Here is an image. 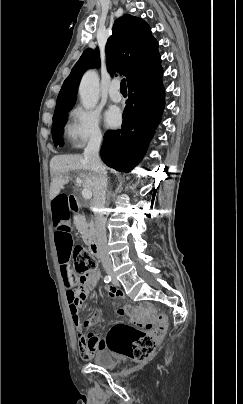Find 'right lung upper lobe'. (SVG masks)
Returning <instances> with one entry per match:
<instances>
[{"label":"right lung upper lobe","mask_w":243,"mask_h":404,"mask_svg":"<svg viewBox=\"0 0 243 404\" xmlns=\"http://www.w3.org/2000/svg\"><path fill=\"white\" fill-rule=\"evenodd\" d=\"M99 62V54L95 51L87 49L83 52L62 85L55 112L74 106L83 73L98 66ZM160 62L158 43L144 20L126 14L115 21L112 35L106 44L107 70L111 75L120 72L126 76L129 85L152 73L160 66Z\"/></svg>","instance_id":"obj_1"}]
</instances>
